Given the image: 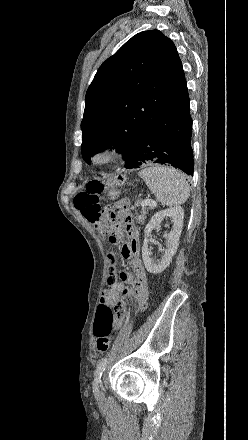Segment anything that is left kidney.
<instances>
[{
  "label": "left kidney",
  "instance_id": "obj_1",
  "mask_svg": "<svg viewBox=\"0 0 248 440\" xmlns=\"http://www.w3.org/2000/svg\"><path fill=\"white\" fill-rule=\"evenodd\" d=\"M166 217H170L172 219L173 227L170 233L164 235L165 239L167 240V245L163 256L159 261L155 262L151 258V251L149 248L148 237L150 236L152 230L155 227L160 226L161 222ZM183 219H184V209L180 206H177L157 212L156 214L153 215L150 222L146 225L144 230L145 239L142 246V259L144 261L145 268L147 269L148 272L152 274L161 273L171 263L172 257L176 253L179 245V238L182 232Z\"/></svg>",
  "mask_w": 248,
  "mask_h": 440
}]
</instances>
